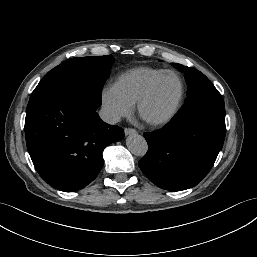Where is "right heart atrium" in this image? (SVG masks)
Masks as SVG:
<instances>
[{"instance_id":"1","label":"right heart atrium","mask_w":257,"mask_h":257,"mask_svg":"<svg viewBox=\"0 0 257 257\" xmlns=\"http://www.w3.org/2000/svg\"><path fill=\"white\" fill-rule=\"evenodd\" d=\"M101 103L105 118L110 122H116L120 118L128 116L132 109L114 86L105 87L101 92Z\"/></svg>"}]
</instances>
